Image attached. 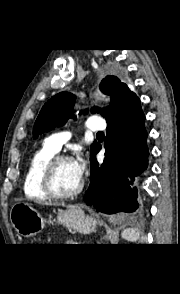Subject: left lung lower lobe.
I'll return each mask as SVG.
<instances>
[{
    "label": "left lung lower lobe",
    "instance_id": "left-lung-lower-lobe-1",
    "mask_svg": "<svg viewBox=\"0 0 180 294\" xmlns=\"http://www.w3.org/2000/svg\"><path fill=\"white\" fill-rule=\"evenodd\" d=\"M145 115L137 95L132 96L107 121L105 159L101 166L91 157V182L84 200L98 211L112 214L135 212L139 208V175L148 166Z\"/></svg>",
    "mask_w": 180,
    "mask_h": 294
}]
</instances>
